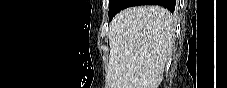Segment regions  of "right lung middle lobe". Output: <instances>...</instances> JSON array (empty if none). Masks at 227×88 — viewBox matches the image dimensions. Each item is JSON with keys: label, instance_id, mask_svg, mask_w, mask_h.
<instances>
[{"label": "right lung middle lobe", "instance_id": "dd1d6c3e", "mask_svg": "<svg viewBox=\"0 0 227 88\" xmlns=\"http://www.w3.org/2000/svg\"><path fill=\"white\" fill-rule=\"evenodd\" d=\"M129 0H109V20L111 21L112 18L122 9H124L127 5Z\"/></svg>", "mask_w": 227, "mask_h": 88}]
</instances>
